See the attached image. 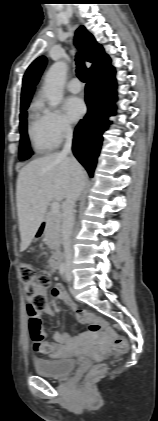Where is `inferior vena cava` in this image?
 Wrapping results in <instances>:
<instances>
[{
  "instance_id": "602c4592",
  "label": "inferior vena cava",
  "mask_w": 158,
  "mask_h": 421,
  "mask_svg": "<svg viewBox=\"0 0 158 421\" xmlns=\"http://www.w3.org/2000/svg\"><path fill=\"white\" fill-rule=\"evenodd\" d=\"M65 139V144L60 154L62 156H66L68 154L70 155L72 161V183L67 191L64 202V212L62 220V240L64 246L65 263L66 265H70L72 262V249L70 245V237L72 234L74 224V207L77 198L80 196L85 186V173L72 154L73 131L69 125L65 127Z\"/></svg>"
}]
</instances>
